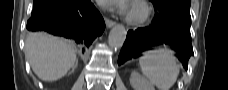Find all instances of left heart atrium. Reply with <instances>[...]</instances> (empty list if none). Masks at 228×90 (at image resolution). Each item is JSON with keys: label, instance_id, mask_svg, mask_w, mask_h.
<instances>
[{"label": "left heart atrium", "instance_id": "obj_1", "mask_svg": "<svg viewBox=\"0 0 228 90\" xmlns=\"http://www.w3.org/2000/svg\"><path fill=\"white\" fill-rule=\"evenodd\" d=\"M119 7L123 10V12H126L127 11V7H126L125 4H122Z\"/></svg>", "mask_w": 228, "mask_h": 90}]
</instances>
